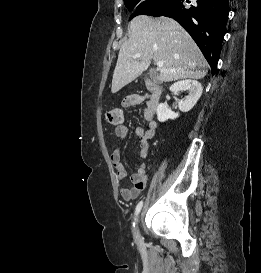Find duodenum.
Wrapping results in <instances>:
<instances>
[{
    "label": "duodenum",
    "instance_id": "410a0bca",
    "mask_svg": "<svg viewBox=\"0 0 261 273\" xmlns=\"http://www.w3.org/2000/svg\"><path fill=\"white\" fill-rule=\"evenodd\" d=\"M147 88L150 92L151 104H152V106H156L159 102L161 95H162V87L157 83H154L152 81H148Z\"/></svg>",
    "mask_w": 261,
    "mask_h": 273
}]
</instances>
